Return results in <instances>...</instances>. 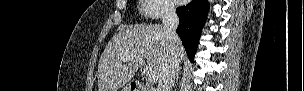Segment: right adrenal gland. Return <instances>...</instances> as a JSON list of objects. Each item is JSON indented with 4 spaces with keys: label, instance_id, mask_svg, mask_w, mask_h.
Here are the masks:
<instances>
[{
    "label": "right adrenal gland",
    "instance_id": "obj_1",
    "mask_svg": "<svg viewBox=\"0 0 304 91\" xmlns=\"http://www.w3.org/2000/svg\"><path fill=\"white\" fill-rule=\"evenodd\" d=\"M178 82V76L176 77L174 83H173V87L176 85V83Z\"/></svg>",
    "mask_w": 304,
    "mask_h": 91
}]
</instances>
